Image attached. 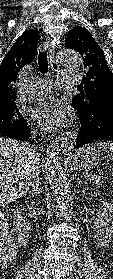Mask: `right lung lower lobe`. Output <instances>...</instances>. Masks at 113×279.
Segmentation results:
<instances>
[{
    "label": "right lung lower lobe",
    "mask_w": 113,
    "mask_h": 279,
    "mask_svg": "<svg viewBox=\"0 0 113 279\" xmlns=\"http://www.w3.org/2000/svg\"><path fill=\"white\" fill-rule=\"evenodd\" d=\"M0 137H9L17 140H23V141H30L29 137H31V130L27 126V123L15 126V127H9L3 130H0Z\"/></svg>",
    "instance_id": "1"
}]
</instances>
